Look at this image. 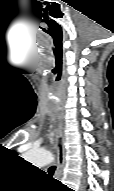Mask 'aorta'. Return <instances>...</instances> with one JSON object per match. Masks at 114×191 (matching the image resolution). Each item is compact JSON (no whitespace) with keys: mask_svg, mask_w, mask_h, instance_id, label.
I'll use <instances>...</instances> for the list:
<instances>
[{"mask_svg":"<svg viewBox=\"0 0 114 191\" xmlns=\"http://www.w3.org/2000/svg\"><path fill=\"white\" fill-rule=\"evenodd\" d=\"M24 158L38 167L45 166L53 160V156L50 152L36 149L26 152Z\"/></svg>","mask_w":114,"mask_h":191,"instance_id":"obj_1","label":"aorta"}]
</instances>
